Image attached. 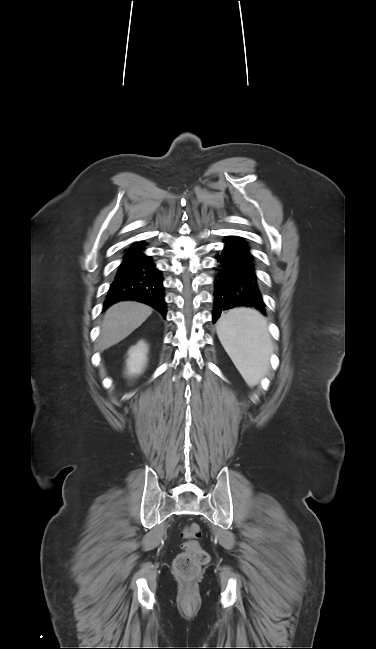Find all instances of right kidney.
I'll list each match as a JSON object with an SVG mask.
<instances>
[{
  "label": "right kidney",
  "mask_w": 376,
  "mask_h": 649,
  "mask_svg": "<svg viewBox=\"0 0 376 649\" xmlns=\"http://www.w3.org/2000/svg\"><path fill=\"white\" fill-rule=\"evenodd\" d=\"M148 347L144 341L131 347L128 351L127 374L134 376L141 374L146 366Z\"/></svg>",
  "instance_id": "1"
}]
</instances>
